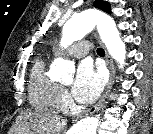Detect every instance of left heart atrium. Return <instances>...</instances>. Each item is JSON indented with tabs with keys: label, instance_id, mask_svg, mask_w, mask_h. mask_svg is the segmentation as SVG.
<instances>
[{
	"label": "left heart atrium",
	"instance_id": "39dd6f15",
	"mask_svg": "<svg viewBox=\"0 0 153 134\" xmlns=\"http://www.w3.org/2000/svg\"><path fill=\"white\" fill-rule=\"evenodd\" d=\"M104 74L88 63H81L77 69L72 86L74 97L83 103L93 102L101 93Z\"/></svg>",
	"mask_w": 153,
	"mask_h": 134
}]
</instances>
